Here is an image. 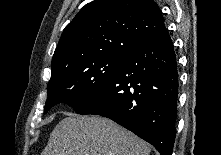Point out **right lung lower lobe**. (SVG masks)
<instances>
[{"label":"right lung lower lobe","mask_w":221,"mask_h":155,"mask_svg":"<svg viewBox=\"0 0 221 155\" xmlns=\"http://www.w3.org/2000/svg\"><path fill=\"white\" fill-rule=\"evenodd\" d=\"M178 72L164 30L138 42L106 86L78 113L101 115L171 155L175 140Z\"/></svg>","instance_id":"98d812e1"}]
</instances>
